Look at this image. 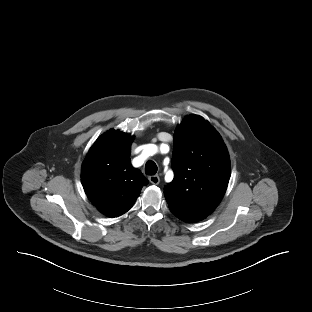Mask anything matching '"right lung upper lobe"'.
Segmentation results:
<instances>
[{
	"instance_id": "1",
	"label": "right lung upper lobe",
	"mask_w": 312,
	"mask_h": 312,
	"mask_svg": "<svg viewBox=\"0 0 312 312\" xmlns=\"http://www.w3.org/2000/svg\"><path fill=\"white\" fill-rule=\"evenodd\" d=\"M134 137L109 130L96 140L82 165V185L92 204L104 215L126 213L148 180L130 164Z\"/></svg>"
}]
</instances>
